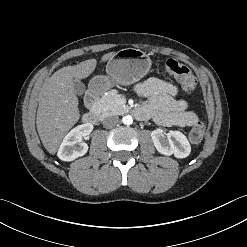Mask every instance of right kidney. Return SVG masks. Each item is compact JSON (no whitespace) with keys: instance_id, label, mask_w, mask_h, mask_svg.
I'll return each instance as SVG.
<instances>
[{"instance_id":"ca27d5eb","label":"right kidney","mask_w":247,"mask_h":247,"mask_svg":"<svg viewBox=\"0 0 247 247\" xmlns=\"http://www.w3.org/2000/svg\"><path fill=\"white\" fill-rule=\"evenodd\" d=\"M92 130L93 125L91 123L78 125L72 129L59 147L57 153L59 159L69 162L85 155L88 151V145L83 142V139L87 140Z\"/></svg>"}]
</instances>
